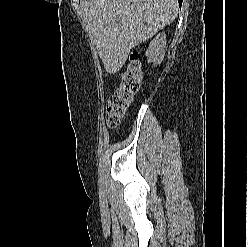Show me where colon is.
Returning <instances> with one entry per match:
<instances>
[{
    "label": "colon",
    "instance_id": "obj_1",
    "mask_svg": "<svg viewBox=\"0 0 248 247\" xmlns=\"http://www.w3.org/2000/svg\"><path fill=\"white\" fill-rule=\"evenodd\" d=\"M141 84V63L138 53L132 52L120 83L108 101L106 121L110 128H115L122 122L129 106L139 92Z\"/></svg>",
    "mask_w": 248,
    "mask_h": 247
}]
</instances>
